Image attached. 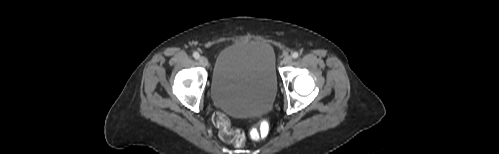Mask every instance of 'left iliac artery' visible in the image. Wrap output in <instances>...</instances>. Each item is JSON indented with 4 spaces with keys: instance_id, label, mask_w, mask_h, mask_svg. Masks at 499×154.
<instances>
[{
    "instance_id": "44dca946",
    "label": "left iliac artery",
    "mask_w": 499,
    "mask_h": 154,
    "mask_svg": "<svg viewBox=\"0 0 499 154\" xmlns=\"http://www.w3.org/2000/svg\"><path fill=\"white\" fill-rule=\"evenodd\" d=\"M299 57V53L298 52H293L292 53V58L296 59Z\"/></svg>"
}]
</instances>
